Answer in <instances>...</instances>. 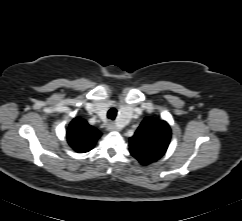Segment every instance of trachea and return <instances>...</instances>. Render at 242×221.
Wrapping results in <instances>:
<instances>
[{
	"label": "trachea",
	"instance_id": "1",
	"mask_svg": "<svg viewBox=\"0 0 242 221\" xmlns=\"http://www.w3.org/2000/svg\"><path fill=\"white\" fill-rule=\"evenodd\" d=\"M117 116V110L115 108H111L109 109L108 113H107V118L114 120Z\"/></svg>",
	"mask_w": 242,
	"mask_h": 221
}]
</instances>
